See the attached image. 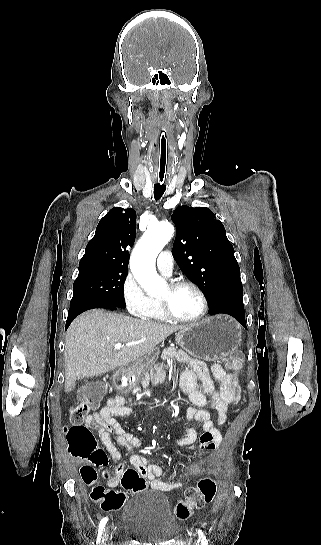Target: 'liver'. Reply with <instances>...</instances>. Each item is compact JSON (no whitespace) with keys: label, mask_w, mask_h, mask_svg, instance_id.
I'll return each instance as SVG.
<instances>
[{"label":"liver","mask_w":321,"mask_h":545,"mask_svg":"<svg viewBox=\"0 0 321 545\" xmlns=\"http://www.w3.org/2000/svg\"><path fill=\"white\" fill-rule=\"evenodd\" d=\"M182 325H164L93 309L71 323L65 341V393L83 377H98L127 367L155 349ZM116 343H137L115 351Z\"/></svg>","instance_id":"6515ba94"}]
</instances>
